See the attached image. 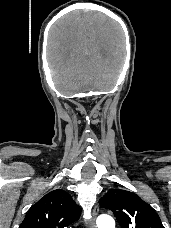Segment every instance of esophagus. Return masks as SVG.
I'll use <instances>...</instances> for the list:
<instances>
[{"label": "esophagus", "instance_id": "34e87169", "mask_svg": "<svg viewBox=\"0 0 171 228\" xmlns=\"http://www.w3.org/2000/svg\"><path fill=\"white\" fill-rule=\"evenodd\" d=\"M98 212H99V208L98 206H95L93 209V218L89 222V228H97L95 223V217L97 216Z\"/></svg>", "mask_w": 171, "mask_h": 228}]
</instances>
